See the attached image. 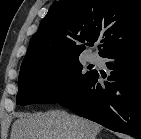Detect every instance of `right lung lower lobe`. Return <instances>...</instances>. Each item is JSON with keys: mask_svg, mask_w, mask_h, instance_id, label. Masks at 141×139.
Here are the masks:
<instances>
[{"mask_svg": "<svg viewBox=\"0 0 141 139\" xmlns=\"http://www.w3.org/2000/svg\"><path fill=\"white\" fill-rule=\"evenodd\" d=\"M102 57L109 59L108 82L98 83L99 73L95 71L59 104L113 131L141 139V39Z\"/></svg>", "mask_w": 141, "mask_h": 139, "instance_id": "1", "label": "right lung lower lobe"}]
</instances>
